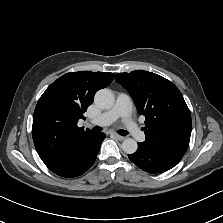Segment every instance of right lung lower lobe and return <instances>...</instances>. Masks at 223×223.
Instances as JSON below:
<instances>
[{
  "instance_id": "obj_1",
  "label": "right lung lower lobe",
  "mask_w": 223,
  "mask_h": 223,
  "mask_svg": "<svg viewBox=\"0 0 223 223\" xmlns=\"http://www.w3.org/2000/svg\"><path fill=\"white\" fill-rule=\"evenodd\" d=\"M104 138L103 133L93 134L82 143L79 152L68 164L53 172L62 177H77L83 174L95 162Z\"/></svg>"
}]
</instances>
